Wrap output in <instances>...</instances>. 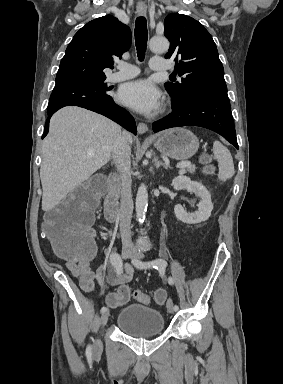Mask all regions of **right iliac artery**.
I'll return each instance as SVG.
<instances>
[{"label":"right iliac artery","mask_w":283,"mask_h":384,"mask_svg":"<svg viewBox=\"0 0 283 384\" xmlns=\"http://www.w3.org/2000/svg\"><path fill=\"white\" fill-rule=\"evenodd\" d=\"M110 262L112 266L115 268L117 274H121L123 272V263L118 253H112L110 255ZM105 311H107V308L104 306L101 308V313H104ZM91 354H92V347L91 345H88L86 349V355L90 357Z\"/></svg>","instance_id":"obj_1"}]
</instances>
